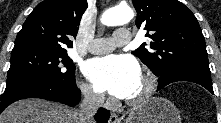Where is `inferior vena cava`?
Listing matches in <instances>:
<instances>
[{"instance_id": "obj_1", "label": "inferior vena cava", "mask_w": 221, "mask_h": 123, "mask_svg": "<svg viewBox=\"0 0 221 123\" xmlns=\"http://www.w3.org/2000/svg\"><path fill=\"white\" fill-rule=\"evenodd\" d=\"M82 94L84 98L78 109V122L93 123L94 115L98 111L99 107L104 103V95L95 93L87 87L82 89Z\"/></svg>"}]
</instances>
